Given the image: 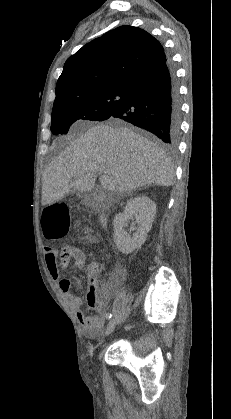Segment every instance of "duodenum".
<instances>
[{"label": "duodenum", "mask_w": 231, "mask_h": 419, "mask_svg": "<svg viewBox=\"0 0 231 419\" xmlns=\"http://www.w3.org/2000/svg\"><path fill=\"white\" fill-rule=\"evenodd\" d=\"M101 220H102V221H104V220H105L103 215H101Z\"/></svg>", "instance_id": "410a0bca"}]
</instances>
